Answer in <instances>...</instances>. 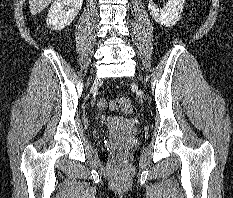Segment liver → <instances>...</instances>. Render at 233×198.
I'll use <instances>...</instances> for the list:
<instances>
[{"mask_svg": "<svg viewBox=\"0 0 233 198\" xmlns=\"http://www.w3.org/2000/svg\"><path fill=\"white\" fill-rule=\"evenodd\" d=\"M54 0H29V9L32 15L40 13Z\"/></svg>", "mask_w": 233, "mask_h": 198, "instance_id": "6515ba94", "label": "liver"}]
</instances>
